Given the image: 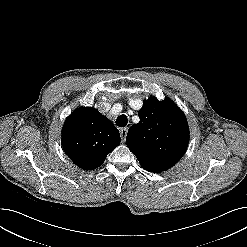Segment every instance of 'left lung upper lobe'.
<instances>
[{
  "label": "left lung upper lobe",
  "mask_w": 247,
  "mask_h": 247,
  "mask_svg": "<svg viewBox=\"0 0 247 247\" xmlns=\"http://www.w3.org/2000/svg\"><path fill=\"white\" fill-rule=\"evenodd\" d=\"M140 121L130 127L126 144L147 171L158 173L175 165L189 142L184 113L170 99L149 98L138 112Z\"/></svg>",
  "instance_id": "1"
}]
</instances>
